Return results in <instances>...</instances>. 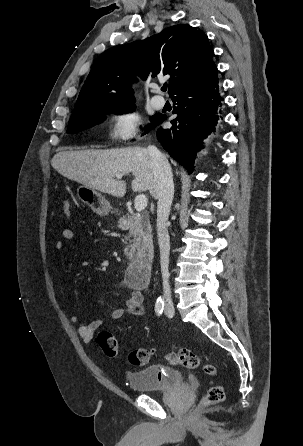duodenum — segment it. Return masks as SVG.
I'll return each instance as SVG.
<instances>
[{"instance_id":"1","label":"duodenum","mask_w":303,"mask_h":446,"mask_svg":"<svg viewBox=\"0 0 303 446\" xmlns=\"http://www.w3.org/2000/svg\"><path fill=\"white\" fill-rule=\"evenodd\" d=\"M151 260L148 258H141L133 260L128 269L126 278L134 288L141 289L145 287L150 280Z\"/></svg>"}]
</instances>
